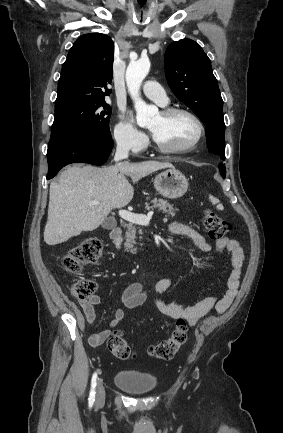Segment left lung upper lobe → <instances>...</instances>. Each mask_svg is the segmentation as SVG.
Returning a JSON list of instances; mask_svg holds the SVG:
<instances>
[{
    "label": "left lung upper lobe",
    "mask_w": 283,
    "mask_h": 433,
    "mask_svg": "<svg viewBox=\"0 0 283 433\" xmlns=\"http://www.w3.org/2000/svg\"><path fill=\"white\" fill-rule=\"evenodd\" d=\"M165 75L176 97L205 124L207 145L225 148L223 101L203 49L190 39L171 43L165 52Z\"/></svg>",
    "instance_id": "obj_1"
}]
</instances>
